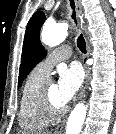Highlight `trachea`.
I'll use <instances>...</instances> for the list:
<instances>
[{
	"label": "trachea",
	"instance_id": "3493384b",
	"mask_svg": "<svg viewBox=\"0 0 116 134\" xmlns=\"http://www.w3.org/2000/svg\"><path fill=\"white\" fill-rule=\"evenodd\" d=\"M70 6L73 9L72 19L77 24L74 0H70ZM77 46L82 53H86V43H85V39H84L82 34H80L78 39H77Z\"/></svg>",
	"mask_w": 116,
	"mask_h": 134
}]
</instances>
